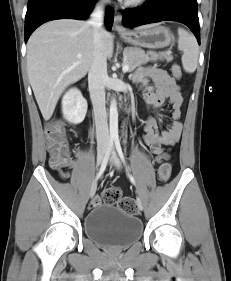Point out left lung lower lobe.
<instances>
[{
    "label": "left lung lower lobe",
    "instance_id": "obj_1",
    "mask_svg": "<svg viewBox=\"0 0 231 281\" xmlns=\"http://www.w3.org/2000/svg\"><path fill=\"white\" fill-rule=\"evenodd\" d=\"M163 20L187 25L200 44L197 0H150L145 7L123 13L122 24L124 27H134Z\"/></svg>",
    "mask_w": 231,
    "mask_h": 281
}]
</instances>
